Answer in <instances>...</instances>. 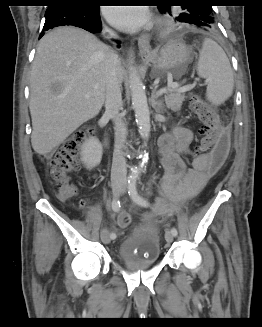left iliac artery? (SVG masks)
I'll use <instances>...</instances> for the list:
<instances>
[{
    "label": "left iliac artery",
    "instance_id": "left-iliac-artery-1",
    "mask_svg": "<svg viewBox=\"0 0 262 327\" xmlns=\"http://www.w3.org/2000/svg\"><path fill=\"white\" fill-rule=\"evenodd\" d=\"M128 183H129V186H128L129 191H128V193H129L130 197L132 198V200L135 203H137V204H139L141 206H144V207L149 206V202L146 199H144L143 197H141L138 194V192H137V189H136V179H134V178L133 179H130ZM171 233L174 236H177V234H178L177 229L173 227L171 229Z\"/></svg>",
    "mask_w": 262,
    "mask_h": 327
}]
</instances>
